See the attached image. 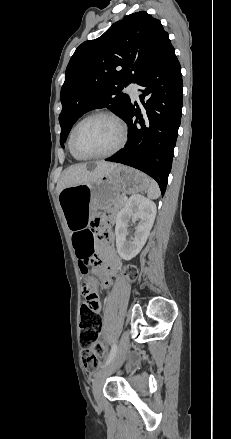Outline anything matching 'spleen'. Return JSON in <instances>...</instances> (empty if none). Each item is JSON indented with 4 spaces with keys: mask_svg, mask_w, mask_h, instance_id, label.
<instances>
[{
    "mask_svg": "<svg viewBox=\"0 0 231 439\" xmlns=\"http://www.w3.org/2000/svg\"><path fill=\"white\" fill-rule=\"evenodd\" d=\"M160 196V189L158 184L154 180H150L149 188L147 191V197L149 199H157Z\"/></svg>",
    "mask_w": 231,
    "mask_h": 439,
    "instance_id": "obj_1",
    "label": "spleen"
}]
</instances>
